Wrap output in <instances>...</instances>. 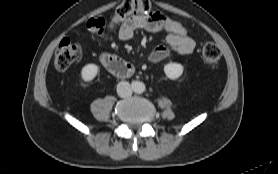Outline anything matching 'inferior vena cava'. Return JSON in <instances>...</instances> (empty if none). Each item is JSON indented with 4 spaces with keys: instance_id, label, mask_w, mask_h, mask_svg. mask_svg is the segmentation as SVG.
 Returning <instances> with one entry per match:
<instances>
[{
    "instance_id": "1",
    "label": "inferior vena cava",
    "mask_w": 278,
    "mask_h": 174,
    "mask_svg": "<svg viewBox=\"0 0 278 174\" xmlns=\"http://www.w3.org/2000/svg\"><path fill=\"white\" fill-rule=\"evenodd\" d=\"M117 93L120 97H129L132 95V87L128 82L122 81L117 85Z\"/></svg>"
}]
</instances>
